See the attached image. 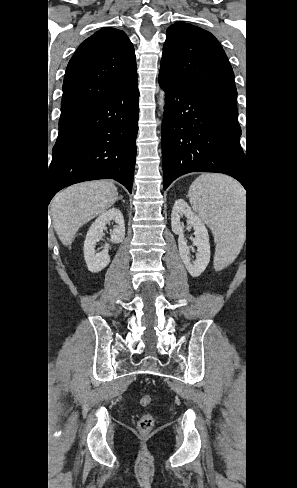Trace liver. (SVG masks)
<instances>
[{"label": "liver", "mask_w": 297, "mask_h": 488, "mask_svg": "<svg viewBox=\"0 0 297 488\" xmlns=\"http://www.w3.org/2000/svg\"><path fill=\"white\" fill-rule=\"evenodd\" d=\"M117 199L115 185L104 180L75 184L59 192L50 203V215L63 245H70L81 226L105 212Z\"/></svg>", "instance_id": "obj_1"}]
</instances>
